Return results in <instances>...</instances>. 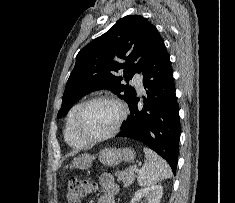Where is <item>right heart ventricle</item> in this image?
I'll list each match as a JSON object with an SVG mask.
<instances>
[{"mask_svg":"<svg viewBox=\"0 0 235 203\" xmlns=\"http://www.w3.org/2000/svg\"><path fill=\"white\" fill-rule=\"evenodd\" d=\"M80 105L81 103H77L70 109L66 118V124H65V130H64V138L67 144L73 148H82L83 146L87 144L83 142L81 139H79L73 130L74 115Z\"/></svg>","mask_w":235,"mask_h":203,"instance_id":"right-heart-ventricle-1","label":"right heart ventricle"}]
</instances>
